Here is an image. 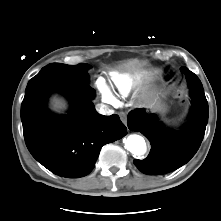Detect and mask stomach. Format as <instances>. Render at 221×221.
I'll return each instance as SVG.
<instances>
[{
    "mask_svg": "<svg viewBox=\"0 0 221 221\" xmlns=\"http://www.w3.org/2000/svg\"><path fill=\"white\" fill-rule=\"evenodd\" d=\"M150 107L158 111H165V105L159 103L156 100L150 105Z\"/></svg>",
    "mask_w": 221,
    "mask_h": 221,
    "instance_id": "1",
    "label": "stomach"
}]
</instances>
